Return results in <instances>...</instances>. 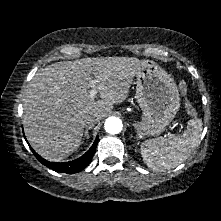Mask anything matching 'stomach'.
<instances>
[{
  "label": "stomach",
  "mask_w": 221,
  "mask_h": 221,
  "mask_svg": "<svg viewBox=\"0 0 221 221\" xmlns=\"http://www.w3.org/2000/svg\"><path fill=\"white\" fill-rule=\"evenodd\" d=\"M136 99L142 110L141 121H134L138 138L155 136L166 130L180 107L174 79L152 61H141L136 74Z\"/></svg>",
  "instance_id": "obj_1"
}]
</instances>
